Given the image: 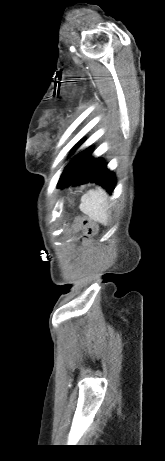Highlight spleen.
Returning a JSON list of instances; mask_svg holds the SVG:
<instances>
[{
  "label": "spleen",
  "mask_w": 165,
  "mask_h": 461,
  "mask_svg": "<svg viewBox=\"0 0 165 461\" xmlns=\"http://www.w3.org/2000/svg\"><path fill=\"white\" fill-rule=\"evenodd\" d=\"M79 208L95 222L107 225L110 220L108 195L100 187L84 194Z\"/></svg>",
  "instance_id": "obj_1"
}]
</instances>
